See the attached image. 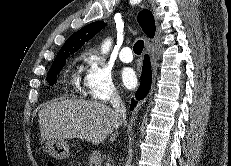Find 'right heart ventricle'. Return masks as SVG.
Instances as JSON below:
<instances>
[{"instance_id":"1","label":"right heart ventricle","mask_w":231,"mask_h":166,"mask_svg":"<svg viewBox=\"0 0 231 166\" xmlns=\"http://www.w3.org/2000/svg\"><path fill=\"white\" fill-rule=\"evenodd\" d=\"M72 84L77 90L80 89V76L77 71H75L72 75Z\"/></svg>"}]
</instances>
